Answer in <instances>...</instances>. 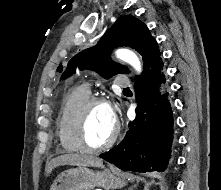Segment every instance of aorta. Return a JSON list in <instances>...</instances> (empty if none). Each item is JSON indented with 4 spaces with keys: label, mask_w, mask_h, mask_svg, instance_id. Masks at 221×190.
<instances>
[{
    "label": "aorta",
    "mask_w": 221,
    "mask_h": 190,
    "mask_svg": "<svg viewBox=\"0 0 221 190\" xmlns=\"http://www.w3.org/2000/svg\"><path fill=\"white\" fill-rule=\"evenodd\" d=\"M117 58L130 64L138 73L141 72L142 67L138 57L128 49H118L116 51Z\"/></svg>",
    "instance_id": "1"
}]
</instances>
